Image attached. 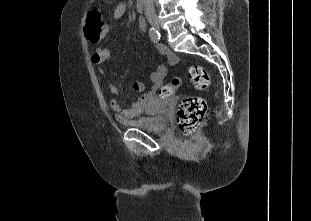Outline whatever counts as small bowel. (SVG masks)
Instances as JSON below:
<instances>
[{
  "mask_svg": "<svg viewBox=\"0 0 311 221\" xmlns=\"http://www.w3.org/2000/svg\"><path fill=\"white\" fill-rule=\"evenodd\" d=\"M125 12V5L119 3L115 6L113 12V19H119ZM139 27V26H138ZM143 30L144 28H140ZM158 51L164 57L165 62L159 65L156 70L151 72L150 80L153 84L152 90L148 94L140 96L130 107L124 108L120 103L121 91L117 82L111 78L106 70V64L112 61L110 50L107 47H99L92 56L93 63L98 66L101 74L106 78L108 92L111 96L109 105L118 119L133 118L144 111L146 103L154 96L155 92L162 86L163 80L167 74V63H173L175 56L164 46H158ZM134 89L136 91H143L145 85L142 82H135Z\"/></svg>",
  "mask_w": 311,
  "mask_h": 221,
  "instance_id": "c3829d8e",
  "label": "small bowel"
}]
</instances>
